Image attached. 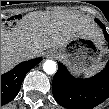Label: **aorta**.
<instances>
[{"label": "aorta", "instance_id": "1", "mask_svg": "<svg viewBox=\"0 0 109 109\" xmlns=\"http://www.w3.org/2000/svg\"><path fill=\"white\" fill-rule=\"evenodd\" d=\"M43 70L47 74H55L57 70V65L53 60H47L43 64Z\"/></svg>", "mask_w": 109, "mask_h": 109}]
</instances>
